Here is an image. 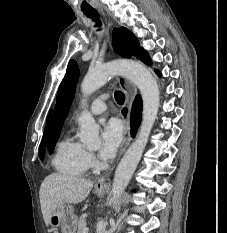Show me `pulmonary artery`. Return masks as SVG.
Returning a JSON list of instances; mask_svg holds the SVG:
<instances>
[{
    "mask_svg": "<svg viewBox=\"0 0 227 233\" xmlns=\"http://www.w3.org/2000/svg\"><path fill=\"white\" fill-rule=\"evenodd\" d=\"M107 97L108 96L106 94H103L97 97L96 99H94L90 105V113L93 115H100L104 113L107 109L106 102H105Z\"/></svg>",
    "mask_w": 227,
    "mask_h": 233,
    "instance_id": "1",
    "label": "pulmonary artery"
}]
</instances>
